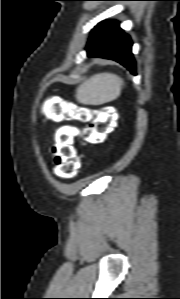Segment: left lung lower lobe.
<instances>
[{
  "instance_id": "1",
  "label": "left lung lower lobe",
  "mask_w": 180,
  "mask_h": 299,
  "mask_svg": "<svg viewBox=\"0 0 180 299\" xmlns=\"http://www.w3.org/2000/svg\"><path fill=\"white\" fill-rule=\"evenodd\" d=\"M132 42L116 21H102L92 31L86 50L89 56L115 60L135 74Z\"/></svg>"
}]
</instances>
